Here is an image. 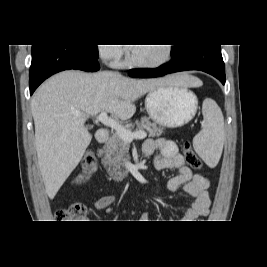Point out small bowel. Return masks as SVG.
<instances>
[{
	"mask_svg": "<svg viewBox=\"0 0 267 267\" xmlns=\"http://www.w3.org/2000/svg\"><path fill=\"white\" fill-rule=\"evenodd\" d=\"M143 152L146 156L158 153L154 158V166L157 170H176V175L167 184L169 191L183 190L194 198L192 206L185 211L182 222H191L196 217L208 212L210 206L209 180L203 175L194 174L185 165L184 158L173 141L164 138L148 139L143 144ZM115 201V196L107 195L99 198L94 206L97 210H102L112 205ZM139 221L151 222L149 213H143L139 217Z\"/></svg>",
	"mask_w": 267,
	"mask_h": 267,
	"instance_id": "c3829d8e",
	"label": "small bowel"
}]
</instances>
